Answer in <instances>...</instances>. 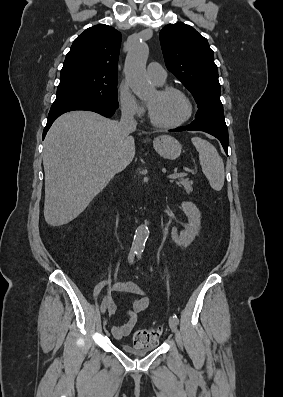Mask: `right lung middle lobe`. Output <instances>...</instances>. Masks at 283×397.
Listing matches in <instances>:
<instances>
[{
	"label": "right lung middle lobe",
	"mask_w": 283,
	"mask_h": 397,
	"mask_svg": "<svg viewBox=\"0 0 283 397\" xmlns=\"http://www.w3.org/2000/svg\"><path fill=\"white\" fill-rule=\"evenodd\" d=\"M62 101H86L117 109V77L62 73L54 102Z\"/></svg>",
	"instance_id": "obj_1"
}]
</instances>
